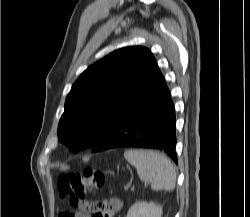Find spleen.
<instances>
[{
    "label": "spleen",
    "mask_w": 250,
    "mask_h": 217,
    "mask_svg": "<svg viewBox=\"0 0 250 217\" xmlns=\"http://www.w3.org/2000/svg\"><path fill=\"white\" fill-rule=\"evenodd\" d=\"M124 157L137 169L142 181L151 183L152 190L170 192L175 188L176 172L166 156L152 150L130 149Z\"/></svg>",
    "instance_id": "spleen-1"
}]
</instances>
